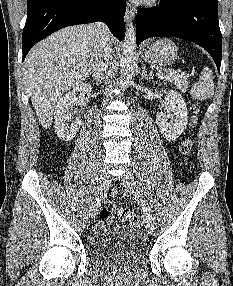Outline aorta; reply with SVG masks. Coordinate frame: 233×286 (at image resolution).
<instances>
[{
    "label": "aorta",
    "mask_w": 233,
    "mask_h": 286,
    "mask_svg": "<svg viewBox=\"0 0 233 286\" xmlns=\"http://www.w3.org/2000/svg\"><path fill=\"white\" fill-rule=\"evenodd\" d=\"M136 66V41H135V29L130 22L127 26L122 55L120 59V85L126 88L132 81L134 70Z\"/></svg>",
    "instance_id": "obj_1"
}]
</instances>
